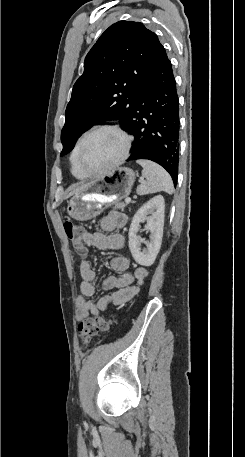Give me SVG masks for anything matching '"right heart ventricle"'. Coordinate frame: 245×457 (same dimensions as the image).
Segmentation results:
<instances>
[{
    "mask_svg": "<svg viewBox=\"0 0 245 457\" xmlns=\"http://www.w3.org/2000/svg\"><path fill=\"white\" fill-rule=\"evenodd\" d=\"M85 134H83L79 140L77 141V144L72 152V155H71V172L72 174L74 175V177H76L77 179L79 180H83L85 179L87 176L81 171V169L79 168L78 164H77V160H76V154H77V150L79 148V145L83 139Z\"/></svg>",
    "mask_w": 245,
    "mask_h": 457,
    "instance_id": "right-heart-ventricle-1",
    "label": "right heart ventricle"
}]
</instances>
